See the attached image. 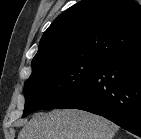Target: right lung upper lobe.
<instances>
[{
	"label": "right lung upper lobe",
	"instance_id": "1",
	"mask_svg": "<svg viewBox=\"0 0 141 139\" xmlns=\"http://www.w3.org/2000/svg\"><path fill=\"white\" fill-rule=\"evenodd\" d=\"M141 45V5L134 0H82L44 32L32 69L83 56L109 59Z\"/></svg>",
	"mask_w": 141,
	"mask_h": 139
}]
</instances>
